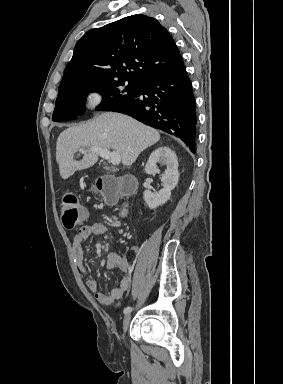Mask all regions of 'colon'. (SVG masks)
<instances>
[{
	"mask_svg": "<svg viewBox=\"0 0 283 384\" xmlns=\"http://www.w3.org/2000/svg\"><path fill=\"white\" fill-rule=\"evenodd\" d=\"M128 188V181H120L112 177L100 178L94 185L95 192L108 203L116 202ZM61 214L62 223L67 229H73L87 218L86 211L81 208L77 198L72 194L63 197Z\"/></svg>",
	"mask_w": 283,
	"mask_h": 384,
	"instance_id": "colon-1",
	"label": "colon"
}]
</instances>
